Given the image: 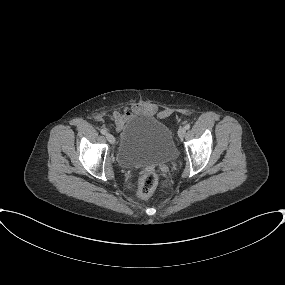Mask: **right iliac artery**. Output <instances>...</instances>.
I'll list each match as a JSON object with an SVG mask.
<instances>
[{
    "instance_id": "obj_1",
    "label": "right iliac artery",
    "mask_w": 285,
    "mask_h": 285,
    "mask_svg": "<svg viewBox=\"0 0 285 285\" xmlns=\"http://www.w3.org/2000/svg\"><path fill=\"white\" fill-rule=\"evenodd\" d=\"M100 132L105 135L107 133V131L105 129H101Z\"/></svg>"
}]
</instances>
